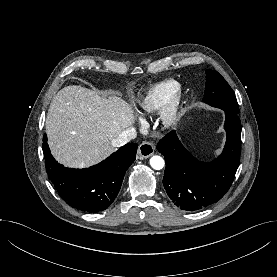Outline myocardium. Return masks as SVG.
I'll return each instance as SVG.
<instances>
[{"label":"myocardium","instance_id":"obj_1","mask_svg":"<svg viewBox=\"0 0 277 277\" xmlns=\"http://www.w3.org/2000/svg\"><path fill=\"white\" fill-rule=\"evenodd\" d=\"M181 101L182 92L181 89L176 86L159 112V119L165 127H172L178 122Z\"/></svg>","mask_w":277,"mask_h":277}]
</instances>
